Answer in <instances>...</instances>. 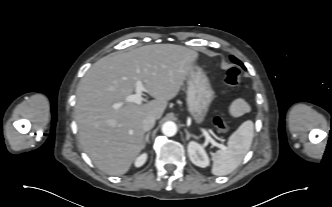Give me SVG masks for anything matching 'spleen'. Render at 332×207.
I'll return each mask as SVG.
<instances>
[{"instance_id": "1", "label": "spleen", "mask_w": 332, "mask_h": 207, "mask_svg": "<svg viewBox=\"0 0 332 207\" xmlns=\"http://www.w3.org/2000/svg\"><path fill=\"white\" fill-rule=\"evenodd\" d=\"M254 135V125L250 120L242 123L229 137L227 146L212 154V173L223 176L233 172L249 151Z\"/></svg>"}]
</instances>
